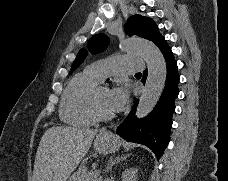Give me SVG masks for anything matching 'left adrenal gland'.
Instances as JSON below:
<instances>
[{
    "label": "left adrenal gland",
    "instance_id": "1",
    "mask_svg": "<svg viewBox=\"0 0 228 181\" xmlns=\"http://www.w3.org/2000/svg\"><path fill=\"white\" fill-rule=\"evenodd\" d=\"M127 157H129V155H123V157H115V159H110L109 161V165H107L106 167V171L105 173H109L110 169H112V167H114V165H116V163H120V161H126Z\"/></svg>",
    "mask_w": 228,
    "mask_h": 181
}]
</instances>
